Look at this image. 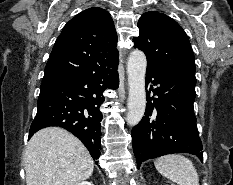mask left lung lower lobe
<instances>
[{
  "instance_id": "obj_1",
  "label": "left lung lower lobe",
  "mask_w": 233,
  "mask_h": 185,
  "mask_svg": "<svg viewBox=\"0 0 233 185\" xmlns=\"http://www.w3.org/2000/svg\"><path fill=\"white\" fill-rule=\"evenodd\" d=\"M195 85L194 76L147 67L145 116L131 132L138 168L145 160L171 153H191L202 160L193 108ZM151 90L157 98H150Z\"/></svg>"
}]
</instances>
